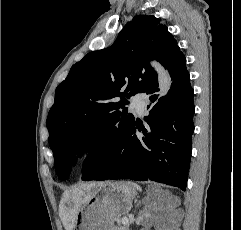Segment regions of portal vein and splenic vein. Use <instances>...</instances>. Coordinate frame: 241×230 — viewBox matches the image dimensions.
I'll return each instance as SVG.
<instances>
[{
  "label": "portal vein and splenic vein",
  "instance_id": "obj_1",
  "mask_svg": "<svg viewBox=\"0 0 241 230\" xmlns=\"http://www.w3.org/2000/svg\"><path fill=\"white\" fill-rule=\"evenodd\" d=\"M122 223L124 224V225H127V224H129V219L128 218H123L122 219Z\"/></svg>",
  "mask_w": 241,
  "mask_h": 230
}]
</instances>
